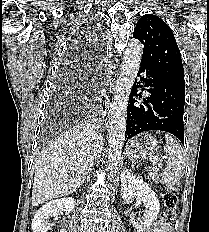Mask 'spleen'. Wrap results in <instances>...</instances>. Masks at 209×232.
I'll return each instance as SVG.
<instances>
[{
    "label": "spleen",
    "mask_w": 209,
    "mask_h": 232,
    "mask_svg": "<svg viewBox=\"0 0 209 232\" xmlns=\"http://www.w3.org/2000/svg\"><path fill=\"white\" fill-rule=\"evenodd\" d=\"M166 145L164 151L167 154L166 167L162 173L161 183L167 187L176 185L183 175L185 167V154L180 144L171 136L165 137Z\"/></svg>",
    "instance_id": "1"
}]
</instances>
